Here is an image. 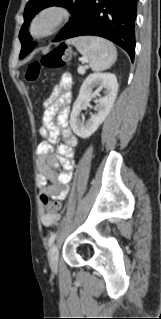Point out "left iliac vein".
Here are the masks:
<instances>
[{
    "label": "left iliac vein",
    "instance_id": "1",
    "mask_svg": "<svg viewBox=\"0 0 161 319\" xmlns=\"http://www.w3.org/2000/svg\"><path fill=\"white\" fill-rule=\"evenodd\" d=\"M48 260L50 267L53 271L57 270L58 267V248L56 245H52L48 252Z\"/></svg>",
    "mask_w": 161,
    "mask_h": 319
}]
</instances>
